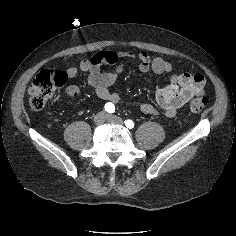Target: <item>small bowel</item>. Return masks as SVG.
<instances>
[{
	"label": "small bowel",
	"instance_id": "c3829d8e",
	"mask_svg": "<svg viewBox=\"0 0 236 236\" xmlns=\"http://www.w3.org/2000/svg\"><path fill=\"white\" fill-rule=\"evenodd\" d=\"M137 59L140 71L155 74H170V83L156 93L157 106L151 103H140L139 109L147 115H157L163 112L167 117L175 116L177 110L190 99L204 92L206 79L202 73H172V65L161 57L152 58L146 51L134 53L131 51H100L90 58L83 59L78 67H69L65 73L68 78H74L78 71L87 73V83L97 97L117 104L121 101L118 93L111 92L110 87L119 79L127 61ZM104 64L115 65L111 72H102ZM81 89L76 85L65 88L64 94L70 97L80 95Z\"/></svg>",
	"mask_w": 236,
	"mask_h": 236
}]
</instances>
